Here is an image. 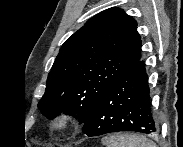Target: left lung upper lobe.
Masks as SVG:
<instances>
[{"label": "left lung upper lobe", "instance_id": "obj_1", "mask_svg": "<svg viewBox=\"0 0 183 147\" xmlns=\"http://www.w3.org/2000/svg\"><path fill=\"white\" fill-rule=\"evenodd\" d=\"M136 21L122 9H107L86 22L62 45L48 75L41 112H60L84 123L103 93L141 56Z\"/></svg>", "mask_w": 183, "mask_h": 147}]
</instances>
